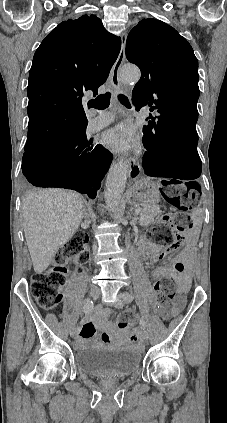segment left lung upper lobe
I'll list each match as a JSON object with an SVG mask.
<instances>
[{"mask_svg":"<svg viewBox=\"0 0 227 423\" xmlns=\"http://www.w3.org/2000/svg\"><path fill=\"white\" fill-rule=\"evenodd\" d=\"M126 57L141 70L132 91L138 111L149 106L162 117L198 118V60L188 41L156 19H144L128 34Z\"/></svg>","mask_w":227,"mask_h":423,"instance_id":"1","label":"left lung upper lobe"}]
</instances>
